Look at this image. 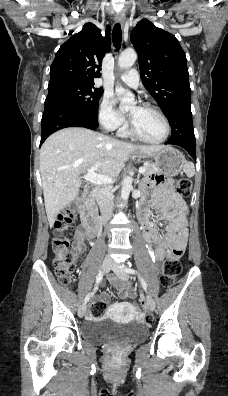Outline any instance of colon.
I'll use <instances>...</instances> for the list:
<instances>
[{
	"instance_id": "colon-1",
	"label": "colon",
	"mask_w": 228,
	"mask_h": 396,
	"mask_svg": "<svg viewBox=\"0 0 228 396\" xmlns=\"http://www.w3.org/2000/svg\"><path fill=\"white\" fill-rule=\"evenodd\" d=\"M176 190L182 196H189L191 192V182L183 177L175 182ZM76 208L70 206L58 214L54 224V237L52 239V251L54 253L53 266L56 275L63 285H69L75 271V254L71 250L70 236L72 234V223L75 219ZM183 250L180 248H172L168 252L167 259L163 266L161 274V284L165 288L172 287L180 273V259ZM104 306L101 302L91 304L88 316L90 318H98L103 314Z\"/></svg>"
}]
</instances>
